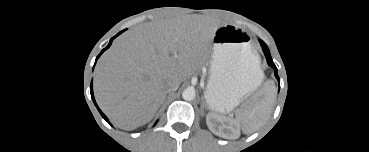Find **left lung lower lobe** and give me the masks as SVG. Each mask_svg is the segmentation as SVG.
<instances>
[{"label":"left lung lower lobe","instance_id":"left-lung-lower-lobe-1","mask_svg":"<svg viewBox=\"0 0 369 152\" xmlns=\"http://www.w3.org/2000/svg\"><path fill=\"white\" fill-rule=\"evenodd\" d=\"M260 44H261V46H262V49H263V51H264V54H265V56H266V59H267L268 64H269L271 67H273V68H274L275 76H276V78L278 79V81H279V83H280V79H279L278 74H277V68H276V66L274 65L273 61H272V58H271V55H270V52H269V50H268L267 45H266L262 40H260Z\"/></svg>","mask_w":369,"mask_h":152}]
</instances>
